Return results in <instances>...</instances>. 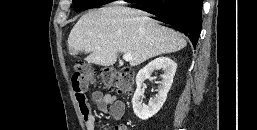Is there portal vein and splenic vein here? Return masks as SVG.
<instances>
[{"mask_svg": "<svg viewBox=\"0 0 257 130\" xmlns=\"http://www.w3.org/2000/svg\"><path fill=\"white\" fill-rule=\"evenodd\" d=\"M123 59L125 60V61H131L132 60V55L131 54H128V53H126V54H123Z\"/></svg>", "mask_w": 257, "mask_h": 130, "instance_id": "portal-vein-and-splenic-vein-1", "label": "portal vein and splenic vein"}]
</instances>
